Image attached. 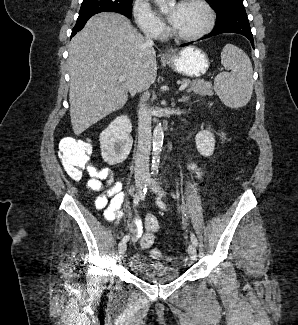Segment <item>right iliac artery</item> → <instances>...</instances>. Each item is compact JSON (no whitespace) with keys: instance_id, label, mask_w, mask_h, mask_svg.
I'll list each match as a JSON object with an SVG mask.
<instances>
[{"instance_id":"obj_1","label":"right iliac artery","mask_w":298,"mask_h":325,"mask_svg":"<svg viewBox=\"0 0 298 325\" xmlns=\"http://www.w3.org/2000/svg\"><path fill=\"white\" fill-rule=\"evenodd\" d=\"M143 192L146 193V185H145V188L143 189ZM139 203V195H135L134 196V204L135 205H138ZM130 239V236L129 235H126L124 236V238L122 239L124 242H127L128 240Z\"/></svg>"}]
</instances>
